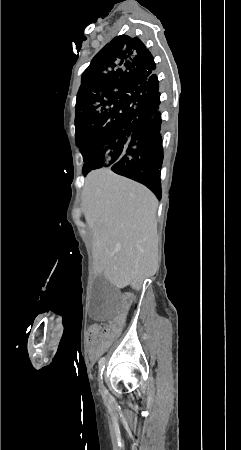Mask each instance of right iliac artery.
Wrapping results in <instances>:
<instances>
[{
    "mask_svg": "<svg viewBox=\"0 0 241 450\" xmlns=\"http://www.w3.org/2000/svg\"><path fill=\"white\" fill-rule=\"evenodd\" d=\"M103 370H104V360L100 359V361H99V372H100V378L101 379H102ZM104 392L108 393L107 390H105Z\"/></svg>",
    "mask_w": 241,
    "mask_h": 450,
    "instance_id": "82829eb1",
    "label": "right iliac artery"
}]
</instances>
